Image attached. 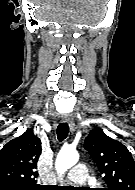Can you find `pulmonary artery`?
I'll list each match as a JSON object with an SVG mask.
<instances>
[{"mask_svg": "<svg viewBox=\"0 0 135 190\" xmlns=\"http://www.w3.org/2000/svg\"><path fill=\"white\" fill-rule=\"evenodd\" d=\"M88 177L87 166L83 163L76 164L66 176L68 181L76 184H84Z\"/></svg>", "mask_w": 135, "mask_h": 190, "instance_id": "pulmonary-artery-1", "label": "pulmonary artery"}]
</instances>
